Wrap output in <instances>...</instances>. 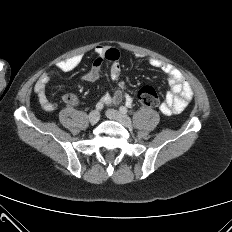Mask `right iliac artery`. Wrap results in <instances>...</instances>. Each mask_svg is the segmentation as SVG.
<instances>
[{"label": "right iliac artery", "instance_id": "1", "mask_svg": "<svg viewBox=\"0 0 232 232\" xmlns=\"http://www.w3.org/2000/svg\"><path fill=\"white\" fill-rule=\"evenodd\" d=\"M104 107V104L102 102H98L96 104V110L101 111Z\"/></svg>", "mask_w": 232, "mask_h": 232}]
</instances>
